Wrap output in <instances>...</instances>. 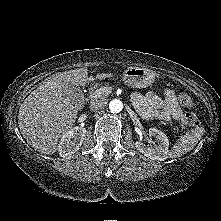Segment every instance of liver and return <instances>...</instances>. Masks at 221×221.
<instances>
[{"label":"liver","mask_w":221,"mask_h":221,"mask_svg":"<svg viewBox=\"0 0 221 221\" xmlns=\"http://www.w3.org/2000/svg\"><path fill=\"white\" fill-rule=\"evenodd\" d=\"M111 76L99 73L96 79ZM91 80L88 69L79 68L56 74L31 92L18 115L21 134L31 147L46 155L57 151L59 140L72 128L78 114L77 107L65 95L68 86H85Z\"/></svg>","instance_id":"6515ba94"}]
</instances>
